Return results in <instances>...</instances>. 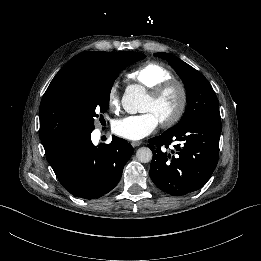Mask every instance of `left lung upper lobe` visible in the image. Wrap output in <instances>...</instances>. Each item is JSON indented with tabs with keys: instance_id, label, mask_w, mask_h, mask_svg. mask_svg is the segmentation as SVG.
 <instances>
[{
	"instance_id": "5c2ea615",
	"label": "left lung upper lobe",
	"mask_w": 261,
	"mask_h": 261,
	"mask_svg": "<svg viewBox=\"0 0 261 261\" xmlns=\"http://www.w3.org/2000/svg\"><path fill=\"white\" fill-rule=\"evenodd\" d=\"M157 57L167 60L182 79L186 92L188 108L181 121L167 132H177L187 125L201 119L220 121L219 103L208 80L196 69L175 55L155 53Z\"/></svg>"
}]
</instances>
